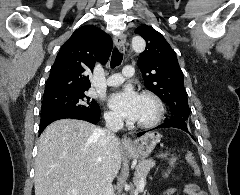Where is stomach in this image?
<instances>
[{"mask_svg": "<svg viewBox=\"0 0 240 195\" xmlns=\"http://www.w3.org/2000/svg\"><path fill=\"white\" fill-rule=\"evenodd\" d=\"M159 141L160 133H158V131H148V133H144V135L135 139L133 145L123 147V149L125 155H128V157H134V159H146Z\"/></svg>", "mask_w": 240, "mask_h": 195, "instance_id": "obj_1", "label": "stomach"}]
</instances>
